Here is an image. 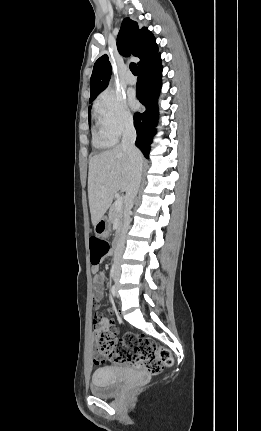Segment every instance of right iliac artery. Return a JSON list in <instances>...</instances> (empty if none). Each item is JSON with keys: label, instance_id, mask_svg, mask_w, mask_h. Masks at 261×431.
Wrapping results in <instances>:
<instances>
[{"label": "right iliac artery", "instance_id": "right-iliac-artery-1", "mask_svg": "<svg viewBox=\"0 0 261 431\" xmlns=\"http://www.w3.org/2000/svg\"><path fill=\"white\" fill-rule=\"evenodd\" d=\"M110 295L111 297H114L116 295V287L113 285L110 289Z\"/></svg>", "mask_w": 261, "mask_h": 431}]
</instances>
